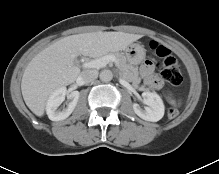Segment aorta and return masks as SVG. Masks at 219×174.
<instances>
[{
	"instance_id": "762f6f07",
	"label": "aorta",
	"mask_w": 219,
	"mask_h": 174,
	"mask_svg": "<svg viewBox=\"0 0 219 174\" xmlns=\"http://www.w3.org/2000/svg\"><path fill=\"white\" fill-rule=\"evenodd\" d=\"M99 77L102 82H109L113 78V73L111 70H103L101 71Z\"/></svg>"
}]
</instances>
